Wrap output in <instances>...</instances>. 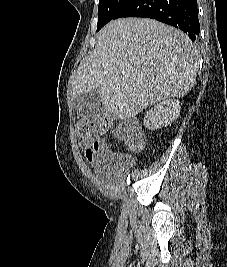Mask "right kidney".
<instances>
[{
    "label": "right kidney",
    "mask_w": 227,
    "mask_h": 267,
    "mask_svg": "<svg viewBox=\"0 0 227 267\" xmlns=\"http://www.w3.org/2000/svg\"><path fill=\"white\" fill-rule=\"evenodd\" d=\"M179 100H164L146 112L144 125L151 130H156L174 122L180 114Z\"/></svg>",
    "instance_id": "right-kidney-1"
}]
</instances>
